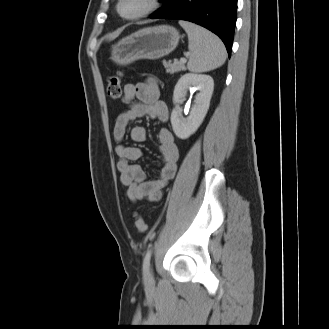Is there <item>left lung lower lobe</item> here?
<instances>
[{"mask_svg":"<svg viewBox=\"0 0 329 329\" xmlns=\"http://www.w3.org/2000/svg\"><path fill=\"white\" fill-rule=\"evenodd\" d=\"M152 19H179L201 25L223 41L230 56L236 25L237 0H163Z\"/></svg>","mask_w":329,"mask_h":329,"instance_id":"left-lung-lower-lobe-1","label":"left lung lower lobe"}]
</instances>
